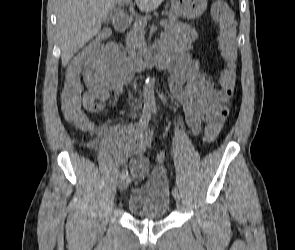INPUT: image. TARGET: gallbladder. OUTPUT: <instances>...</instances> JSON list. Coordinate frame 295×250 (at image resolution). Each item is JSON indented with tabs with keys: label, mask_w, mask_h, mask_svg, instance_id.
Segmentation results:
<instances>
[{
	"label": "gallbladder",
	"mask_w": 295,
	"mask_h": 250,
	"mask_svg": "<svg viewBox=\"0 0 295 250\" xmlns=\"http://www.w3.org/2000/svg\"><path fill=\"white\" fill-rule=\"evenodd\" d=\"M111 20H112V15L109 14V15L106 17V19L104 20V22H105L106 24H108V23L111 22Z\"/></svg>",
	"instance_id": "obj_1"
}]
</instances>
